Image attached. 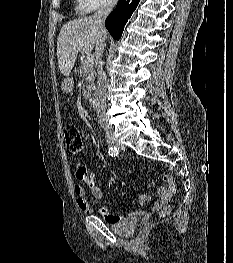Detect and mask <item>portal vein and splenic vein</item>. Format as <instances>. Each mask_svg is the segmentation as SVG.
I'll return each mask as SVG.
<instances>
[{
	"instance_id": "1",
	"label": "portal vein and splenic vein",
	"mask_w": 233,
	"mask_h": 263,
	"mask_svg": "<svg viewBox=\"0 0 233 263\" xmlns=\"http://www.w3.org/2000/svg\"><path fill=\"white\" fill-rule=\"evenodd\" d=\"M86 64L91 65L94 62V56L91 54H88L85 59Z\"/></svg>"
}]
</instances>
